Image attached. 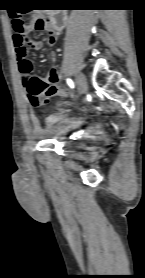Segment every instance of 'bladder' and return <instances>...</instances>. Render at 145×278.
<instances>
[{"instance_id":"obj_1","label":"bladder","mask_w":145,"mask_h":278,"mask_svg":"<svg viewBox=\"0 0 145 278\" xmlns=\"http://www.w3.org/2000/svg\"><path fill=\"white\" fill-rule=\"evenodd\" d=\"M76 122L74 117H68L52 125L53 137L56 139H62L66 136L70 130V126Z\"/></svg>"}]
</instances>
